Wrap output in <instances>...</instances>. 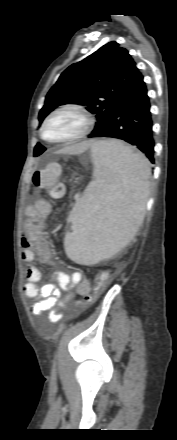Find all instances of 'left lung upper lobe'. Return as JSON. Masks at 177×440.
Segmentation results:
<instances>
[{
    "mask_svg": "<svg viewBox=\"0 0 177 440\" xmlns=\"http://www.w3.org/2000/svg\"><path fill=\"white\" fill-rule=\"evenodd\" d=\"M142 74L125 48L109 42L82 61L69 66L48 92L39 121L57 106L78 103L97 118L96 131L102 127L131 93ZM45 151L40 143L34 156Z\"/></svg>",
    "mask_w": 177,
    "mask_h": 440,
    "instance_id": "left-lung-upper-lobe-1",
    "label": "left lung upper lobe"
}]
</instances>
